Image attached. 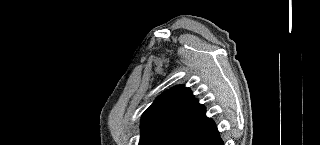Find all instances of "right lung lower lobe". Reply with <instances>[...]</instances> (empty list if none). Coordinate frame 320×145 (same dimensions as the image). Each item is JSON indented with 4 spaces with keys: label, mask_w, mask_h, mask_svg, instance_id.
I'll list each match as a JSON object with an SVG mask.
<instances>
[{
    "label": "right lung lower lobe",
    "mask_w": 320,
    "mask_h": 145,
    "mask_svg": "<svg viewBox=\"0 0 320 145\" xmlns=\"http://www.w3.org/2000/svg\"><path fill=\"white\" fill-rule=\"evenodd\" d=\"M168 145H224L214 121L200 124L175 135Z\"/></svg>",
    "instance_id": "right-lung-lower-lobe-1"
}]
</instances>
